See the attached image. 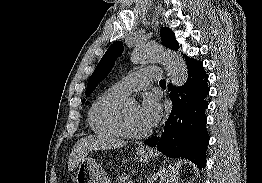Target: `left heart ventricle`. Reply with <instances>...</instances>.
Instances as JSON below:
<instances>
[{"label":"left heart ventricle","mask_w":262,"mask_h":183,"mask_svg":"<svg viewBox=\"0 0 262 183\" xmlns=\"http://www.w3.org/2000/svg\"><path fill=\"white\" fill-rule=\"evenodd\" d=\"M126 117L129 127L135 132H143L148 128L142 123L139 117L138 106L131 104L125 107Z\"/></svg>","instance_id":"left-heart-ventricle-1"}]
</instances>
